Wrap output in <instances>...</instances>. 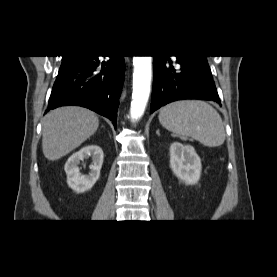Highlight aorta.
I'll use <instances>...</instances> for the list:
<instances>
[{
    "mask_svg": "<svg viewBox=\"0 0 277 277\" xmlns=\"http://www.w3.org/2000/svg\"><path fill=\"white\" fill-rule=\"evenodd\" d=\"M133 66V92L130 116L132 120H137L145 111L151 91L152 57L134 56Z\"/></svg>",
    "mask_w": 277,
    "mask_h": 277,
    "instance_id": "obj_1",
    "label": "aorta"
}]
</instances>
